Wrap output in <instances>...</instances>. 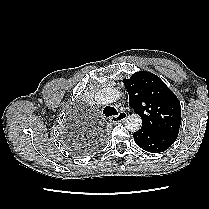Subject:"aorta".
<instances>
[{"label": "aorta", "instance_id": "762f6f07", "mask_svg": "<svg viewBox=\"0 0 209 209\" xmlns=\"http://www.w3.org/2000/svg\"><path fill=\"white\" fill-rule=\"evenodd\" d=\"M119 97V91L110 87L99 89L95 93V99L99 104L113 103L118 100ZM124 125L129 131L136 132L142 126V119L138 114H131L126 117Z\"/></svg>", "mask_w": 209, "mask_h": 209}]
</instances>
